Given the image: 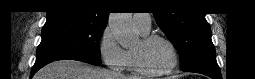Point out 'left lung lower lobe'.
Wrapping results in <instances>:
<instances>
[{
  "mask_svg": "<svg viewBox=\"0 0 255 79\" xmlns=\"http://www.w3.org/2000/svg\"><path fill=\"white\" fill-rule=\"evenodd\" d=\"M184 71L201 73L206 76H209L212 79H221V73L218 66H199Z\"/></svg>",
  "mask_w": 255,
  "mask_h": 79,
  "instance_id": "0a47b994",
  "label": "left lung lower lobe"
}]
</instances>
